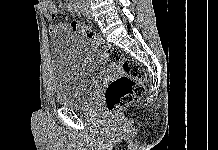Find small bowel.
Returning <instances> with one entry per match:
<instances>
[{"label": "small bowel", "instance_id": "1", "mask_svg": "<svg viewBox=\"0 0 218 150\" xmlns=\"http://www.w3.org/2000/svg\"><path fill=\"white\" fill-rule=\"evenodd\" d=\"M43 9L46 19L51 21L49 25L50 34L67 32L69 31V29H71L70 24L66 22H60V23L53 22L56 20L58 16V12L54 0H43ZM68 10L71 13H78L77 6L74 0H70V2L68 3Z\"/></svg>", "mask_w": 218, "mask_h": 150}]
</instances>
